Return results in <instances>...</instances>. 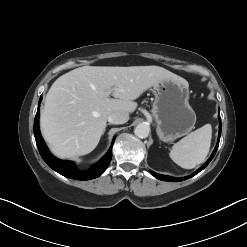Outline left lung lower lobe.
<instances>
[{
  "instance_id": "left-lung-lower-lobe-1",
  "label": "left lung lower lobe",
  "mask_w": 247,
  "mask_h": 247,
  "mask_svg": "<svg viewBox=\"0 0 247 247\" xmlns=\"http://www.w3.org/2000/svg\"><path fill=\"white\" fill-rule=\"evenodd\" d=\"M219 121H220V125H219V137H218V143L211 155V157L207 160V162L202 166L200 167L196 172H194L193 174H191L190 176H186V177H181V178H174V177H170V176H166V175H161V174H157L155 172H152L153 176H155L157 179L159 180H163V181H169V182H178V181H183V180H186L188 178H191L193 176H195L197 173H199L201 170H203L209 163L210 161L212 160V158L214 157L216 151H217V148H218V145H219V141H220V136H221V118H220V114H219Z\"/></svg>"
}]
</instances>
